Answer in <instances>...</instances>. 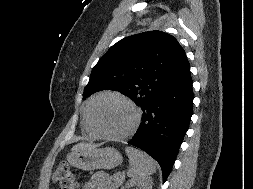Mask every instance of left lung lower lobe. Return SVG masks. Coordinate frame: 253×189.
I'll list each match as a JSON object with an SVG mask.
<instances>
[{"mask_svg": "<svg viewBox=\"0 0 253 189\" xmlns=\"http://www.w3.org/2000/svg\"><path fill=\"white\" fill-rule=\"evenodd\" d=\"M193 90L188 60L176 76L143 107L142 123L128 142L161 166L163 182L175 162L193 114Z\"/></svg>", "mask_w": 253, "mask_h": 189, "instance_id": "1", "label": "left lung lower lobe"}]
</instances>
